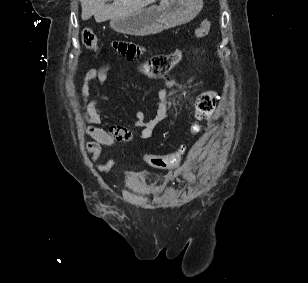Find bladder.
Segmentation results:
<instances>
[{
    "mask_svg": "<svg viewBox=\"0 0 308 283\" xmlns=\"http://www.w3.org/2000/svg\"><path fill=\"white\" fill-rule=\"evenodd\" d=\"M125 185L132 191H139L141 182L136 175H129L126 178Z\"/></svg>",
    "mask_w": 308,
    "mask_h": 283,
    "instance_id": "1",
    "label": "bladder"
}]
</instances>
